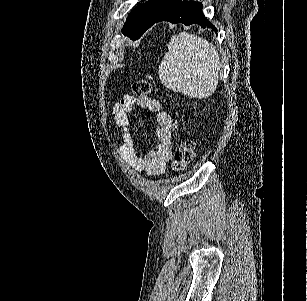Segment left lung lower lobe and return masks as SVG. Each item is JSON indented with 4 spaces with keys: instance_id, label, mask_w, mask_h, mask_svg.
Masks as SVG:
<instances>
[{
    "instance_id": "left-lung-lower-lobe-1",
    "label": "left lung lower lobe",
    "mask_w": 307,
    "mask_h": 301,
    "mask_svg": "<svg viewBox=\"0 0 307 301\" xmlns=\"http://www.w3.org/2000/svg\"><path fill=\"white\" fill-rule=\"evenodd\" d=\"M202 7V3L199 2H182L180 0L178 3L174 4L171 8L165 11L159 18H157L154 23L169 21L173 24H199L202 28H212L215 30V32H217V29L213 26V24L203 15Z\"/></svg>"
}]
</instances>
